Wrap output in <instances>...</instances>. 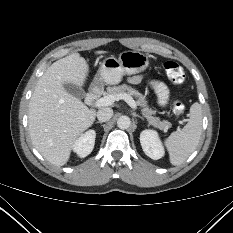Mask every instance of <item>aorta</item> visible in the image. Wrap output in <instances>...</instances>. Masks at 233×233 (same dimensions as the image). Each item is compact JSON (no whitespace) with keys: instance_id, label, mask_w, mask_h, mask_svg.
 <instances>
[{"instance_id":"762f6f07","label":"aorta","mask_w":233,"mask_h":233,"mask_svg":"<svg viewBox=\"0 0 233 233\" xmlns=\"http://www.w3.org/2000/svg\"><path fill=\"white\" fill-rule=\"evenodd\" d=\"M131 124V120L128 116H120L117 120V126L120 129H127Z\"/></svg>"}]
</instances>
